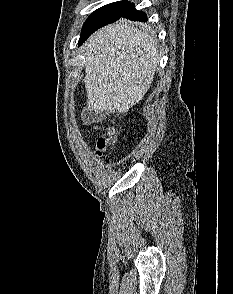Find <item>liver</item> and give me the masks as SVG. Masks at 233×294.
<instances>
[{
	"label": "liver",
	"mask_w": 233,
	"mask_h": 294,
	"mask_svg": "<svg viewBox=\"0 0 233 294\" xmlns=\"http://www.w3.org/2000/svg\"><path fill=\"white\" fill-rule=\"evenodd\" d=\"M83 49L84 83L91 111L125 114L143 99L159 65L154 35L121 20L95 32Z\"/></svg>",
	"instance_id": "6515ba94"
}]
</instances>
